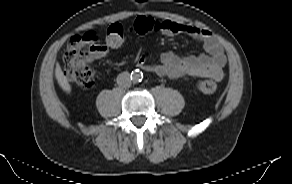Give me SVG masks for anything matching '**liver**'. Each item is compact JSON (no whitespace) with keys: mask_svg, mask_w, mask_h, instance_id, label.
Wrapping results in <instances>:
<instances>
[{"mask_svg":"<svg viewBox=\"0 0 292 184\" xmlns=\"http://www.w3.org/2000/svg\"><path fill=\"white\" fill-rule=\"evenodd\" d=\"M55 77L58 81V84L60 85V87L67 93H70L71 91V86L68 83L67 78L65 77V75L63 74V71L61 70L60 65L57 63L56 64V68H55Z\"/></svg>","mask_w":292,"mask_h":184,"instance_id":"obj_1","label":"liver"}]
</instances>
